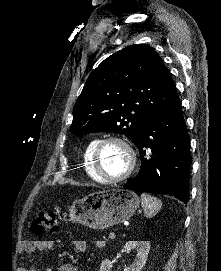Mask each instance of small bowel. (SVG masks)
<instances>
[{"instance_id": "c3829d8e", "label": "small bowel", "mask_w": 221, "mask_h": 271, "mask_svg": "<svg viewBox=\"0 0 221 271\" xmlns=\"http://www.w3.org/2000/svg\"><path fill=\"white\" fill-rule=\"evenodd\" d=\"M55 243L56 241L50 239H25L20 249L26 253H31L35 250L41 252L50 251L54 248ZM74 247L78 252L84 253L87 249V243L82 239H77L74 241ZM19 271H25V269L21 268ZM58 271H79V268L73 264L66 263L61 265Z\"/></svg>"}]
</instances>
